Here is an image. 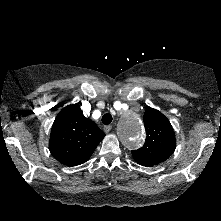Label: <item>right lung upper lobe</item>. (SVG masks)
<instances>
[{
  "label": "right lung upper lobe",
  "mask_w": 221,
  "mask_h": 221,
  "mask_svg": "<svg viewBox=\"0 0 221 221\" xmlns=\"http://www.w3.org/2000/svg\"><path fill=\"white\" fill-rule=\"evenodd\" d=\"M105 133L83 115L80 105L62 109L51 129L49 149L55 159L68 166L86 162Z\"/></svg>",
  "instance_id": "cb5924a9"
}]
</instances>
